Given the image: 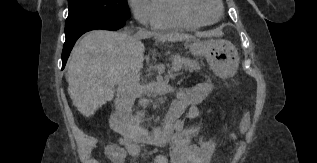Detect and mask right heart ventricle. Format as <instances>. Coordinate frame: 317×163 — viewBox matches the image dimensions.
<instances>
[{"mask_svg": "<svg viewBox=\"0 0 317 163\" xmlns=\"http://www.w3.org/2000/svg\"><path fill=\"white\" fill-rule=\"evenodd\" d=\"M172 2L173 0H155L157 15L152 27L163 30L196 28V25L185 23L175 15Z\"/></svg>", "mask_w": 317, "mask_h": 163, "instance_id": "e07e8e85", "label": "right heart ventricle"}]
</instances>
